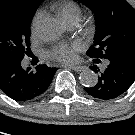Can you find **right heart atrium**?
I'll use <instances>...</instances> for the list:
<instances>
[{"label": "right heart atrium", "instance_id": "right-heart-atrium-1", "mask_svg": "<svg viewBox=\"0 0 135 135\" xmlns=\"http://www.w3.org/2000/svg\"><path fill=\"white\" fill-rule=\"evenodd\" d=\"M44 17V12L42 10H39L35 13L33 19H32V22H31V32H32V35H37L38 33V29H39V25L42 21Z\"/></svg>", "mask_w": 135, "mask_h": 135}]
</instances>
